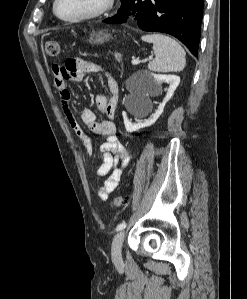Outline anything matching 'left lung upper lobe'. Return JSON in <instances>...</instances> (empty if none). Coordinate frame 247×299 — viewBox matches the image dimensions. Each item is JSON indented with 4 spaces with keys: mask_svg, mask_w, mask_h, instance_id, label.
Instances as JSON below:
<instances>
[{
    "mask_svg": "<svg viewBox=\"0 0 247 299\" xmlns=\"http://www.w3.org/2000/svg\"><path fill=\"white\" fill-rule=\"evenodd\" d=\"M130 0H121V8H124L128 3H129Z\"/></svg>",
    "mask_w": 247,
    "mask_h": 299,
    "instance_id": "obj_1",
    "label": "left lung upper lobe"
}]
</instances>
